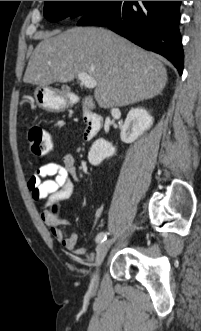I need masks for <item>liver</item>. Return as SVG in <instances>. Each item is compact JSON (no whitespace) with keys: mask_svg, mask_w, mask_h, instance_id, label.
Returning <instances> with one entry per match:
<instances>
[{"mask_svg":"<svg viewBox=\"0 0 201 331\" xmlns=\"http://www.w3.org/2000/svg\"><path fill=\"white\" fill-rule=\"evenodd\" d=\"M85 72L97 81L94 98L108 109L153 98L167 83V70L151 53L103 29L75 27L60 34L48 33L34 49L25 83L47 87L67 83ZM83 106L95 108L92 96Z\"/></svg>","mask_w":201,"mask_h":331,"instance_id":"1","label":"liver"}]
</instances>
